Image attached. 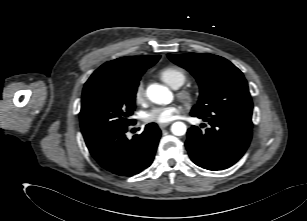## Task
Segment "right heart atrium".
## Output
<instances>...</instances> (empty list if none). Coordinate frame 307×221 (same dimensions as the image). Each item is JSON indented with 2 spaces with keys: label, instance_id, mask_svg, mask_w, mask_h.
Instances as JSON below:
<instances>
[{
  "label": "right heart atrium",
  "instance_id": "1",
  "mask_svg": "<svg viewBox=\"0 0 307 221\" xmlns=\"http://www.w3.org/2000/svg\"><path fill=\"white\" fill-rule=\"evenodd\" d=\"M146 91L143 82H138L134 89V100L137 104L143 105L146 103Z\"/></svg>",
  "mask_w": 307,
  "mask_h": 221
}]
</instances>
